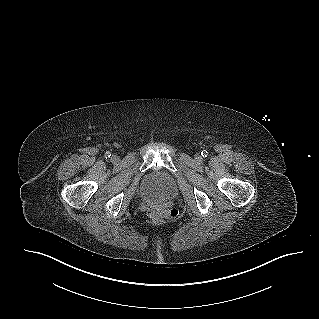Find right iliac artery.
<instances>
[{
    "instance_id": "right-iliac-artery-1",
    "label": "right iliac artery",
    "mask_w": 319,
    "mask_h": 319,
    "mask_svg": "<svg viewBox=\"0 0 319 319\" xmlns=\"http://www.w3.org/2000/svg\"><path fill=\"white\" fill-rule=\"evenodd\" d=\"M110 156H111V153L109 151L105 153L106 159L109 158Z\"/></svg>"
}]
</instances>
